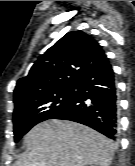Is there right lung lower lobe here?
Here are the masks:
<instances>
[{
    "label": "right lung lower lobe",
    "mask_w": 135,
    "mask_h": 166,
    "mask_svg": "<svg viewBox=\"0 0 135 166\" xmlns=\"http://www.w3.org/2000/svg\"><path fill=\"white\" fill-rule=\"evenodd\" d=\"M51 119L75 121L116 139L118 99L114 72L109 60L79 79L75 85L72 103Z\"/></svg>",
    "instance_id": "98d812e1"
}]
</instances>
